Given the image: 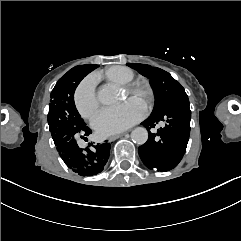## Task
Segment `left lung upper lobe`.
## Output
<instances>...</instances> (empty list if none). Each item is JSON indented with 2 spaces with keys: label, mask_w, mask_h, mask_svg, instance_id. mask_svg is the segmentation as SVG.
Masks as SVG:
<instances>
[{
  "label": "left lung upper lobe",
  "mask_w": 241,
  "mask_h": 241,
  "mask_svg": "<svg viewBox=\"0 0 241 241\" xmlns=\"http://www.w3.org/2000/svg\"><path fill=\"white\" fill-rule=\"evenodd\" d=\"M127 65L150 79L155 95V105L151 115L160 112L175 99L187 96L181 84L168 72L146 64L128 63Z\"/></svg>",
  "instance_id": "obj_1"
}]
</instances>
